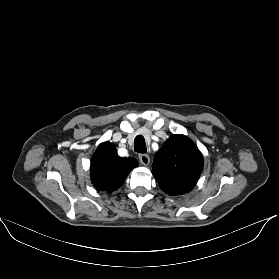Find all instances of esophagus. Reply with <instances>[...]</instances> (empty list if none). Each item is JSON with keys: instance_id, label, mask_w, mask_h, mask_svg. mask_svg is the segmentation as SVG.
<instances>
[{"instance_id": "34e87169", "label": "esophagus", "mask_w": 279, "mask_h": 279, "mask_svg": "<svg viewBox=\"0 0 279 279\" xmlns=\"http://www.w3.org/2000/svg\"><path fill=\"white\" fill-rule=\"evenodd\" d=\"M139 160H140L141 164H143V165H148L150 162V158L147 154L139 155Z\"/></svg>"}]
</instances>
